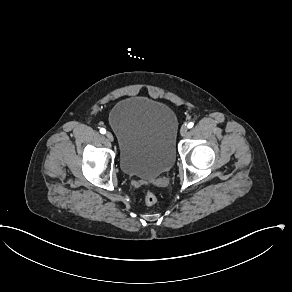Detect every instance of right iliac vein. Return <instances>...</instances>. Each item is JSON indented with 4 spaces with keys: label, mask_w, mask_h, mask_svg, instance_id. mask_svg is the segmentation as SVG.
Here are the masks:
<instances>
[{
    "label": "right iliac vein",
    "mask_w": 292,
    "mask_h": 292,
    "mask_svg": "<svg viewBox=\"0 0 292 292\" xmlns=\"http://www.w3.org/2000/svg\"><path fill=\"white\" fill-rule=\"evenodd\" d=\"M106 137H107V139H108L109 141H113V135H112V133L107 132V133H106Z\"/></svg>",
    "instance_id": "obj_1"
}]
</instances>
